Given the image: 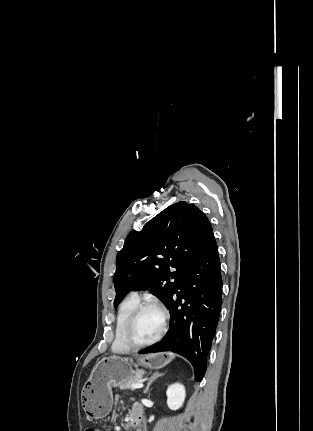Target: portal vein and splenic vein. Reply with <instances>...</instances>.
Instances as JSON below:
<instances>
[{"mask_svg":"<svg viewBox=\"0 0 313 431\" xmlns=\"http://www.w3.org/2000/svg\"><path fill=\"white\" fill-rule=\"evenodd\" d=\"M144 385L142 382H137V383H133L130 385L131 388L133 389H138V388H142Z\"/></svg>","mask_w":313,"mask_h":431,"instance_id":"1","label":"portal vein and splenic vein"}]
</instances>
